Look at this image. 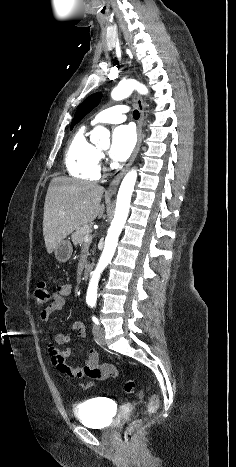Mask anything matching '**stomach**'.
I'll return each instance as SVG.
<instances>
[{
	"mask_svg": "<svg viewBox=\"0 0 236 467\" xmlns=\"http://www.w3.org/2000/svg\"><path fill=\"white\" fill-rule=\"evenodd\" d=\"M73 248L69 240L61 241L55 248L54 254L59 262H67L72 255Z\"/></svg>",
	"mask_w": 236,
	"mask_h": 467,
	"instance_id": "obj_1",
	"label": "stomach"
}]
</instances>
